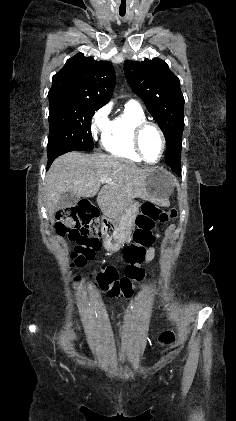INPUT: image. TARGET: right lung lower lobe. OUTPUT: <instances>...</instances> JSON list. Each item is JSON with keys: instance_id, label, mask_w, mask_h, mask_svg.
Returning <instances> with one entry per match:
<instances>
[{"instance_id": "right-lung-lower-lobe-1", "label": "right lung lower lobe", "mask_w": 236, "mask_h": 421, "mask_svg": "<svg viewBox=\"0 0 236 421\" xmlns=\"http://www.w3.org/2000/svg\"><path fill=\"white\" fill-rule=\"evenodd\" d=\"M65 152V151H64ZM57 157L53 156V157H48V165H47V169L50 167V165L52 164V162L56 159Z\"/></svg>"}]
</instances>
